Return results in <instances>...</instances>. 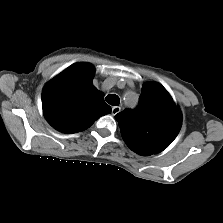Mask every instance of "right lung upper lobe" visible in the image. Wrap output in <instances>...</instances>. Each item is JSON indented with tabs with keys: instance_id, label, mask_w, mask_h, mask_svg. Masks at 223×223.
<instances>
[{
	"instance_id": "1",
	"label": "right lung upper lobe",
	"mask_w": 223,
	"mask_h": 223,
	"mask_svg": "<svg viewBox=\"0 0 223 223\" xmlns=\"http://www.w3.org/2000/svg\"><path fill=\"white\" fill-rule=\"evenodd\" d=\"M93 77L91 64L77 63L45 86L42 107L51 126L63 133H76L90 127L100 116L111 113L104 95L93 86Z\"/></svg>"
}]
</instances>
